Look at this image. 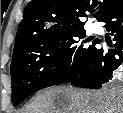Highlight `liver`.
Wrapping results in <instances>:
<instances>
[{
  "instance_id": "1",
  "label": "liver",
  "mask_w": 123,
  "mask_h": 113,
  "mask_svg": "<svg viewBox=\"0 0 123 113\" xmlns=\"http://www.w3.org/2000/svg\"><path fill=\"white\" fill-rule=\"evenodd\" d=\"M22 113H123V90L50 87L40 91Z\"/></svg>"
}]
</instances>
